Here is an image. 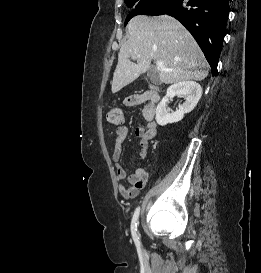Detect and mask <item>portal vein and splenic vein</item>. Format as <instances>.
<instances>
[{
  "label": "portal vein and splenic vein",
  "mask_w": 261,
  "mask_h": 273,
  "mask_svg": "<svg viewBox=\"0 0 261 273\" xmlns=\"http://www.w3.org/2000/svg\"><path fill=\"white\" fill-rule=\"evenodd\" d=\"M140 55H136L135 58L139 57ZM156 65L158 67V69L162 70V71H166V72H172L173 69L170 68H165L164 67V63L162 61H157Z\"/></svg>",
  "instance_id": "18ae733b"
}]
</instances>
